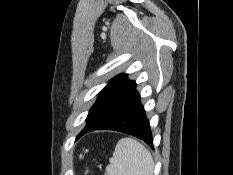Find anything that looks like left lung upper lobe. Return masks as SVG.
<instances>
[{"label":"left lung upper lobe","mask_w":233,"mask_h":175,"mask_svg":"<svg viewBox=\"0 0 233 175\" xmlns=\"http://www.w3.org/2000/svg\"><path fill=\"white\" fill-rule=\"evenodd\" d=\"M134 84V81L127 79L126 74H121L113 78L99 93L96 103L90 109L86 119L88 123L85 128L89 127L99 118H101L108 111V109Z\"/></svg>","instance_id":"left-lung-upper-lobe-1"}]
</instances>
